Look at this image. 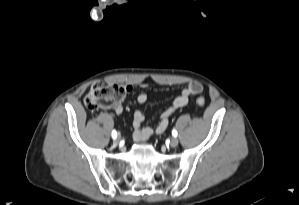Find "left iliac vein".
<instances>
[{"label": "left iliac vein", "mask_w": 299, "mask_h": 205, "mask_svg": "<svg viewBox=\"0 0 299 205\" xmlns=\"http://www.w3.org/2000/svg\"><path fill=\"white\" fill-rule=\"evenodd\" d=\"M178 143H179L178 138H177V137H173V138L171 139V141H170V146H171V147H176V146L178 145Z\"/></svg>", "instance_id": "4c4485c4"}]
</instances>
